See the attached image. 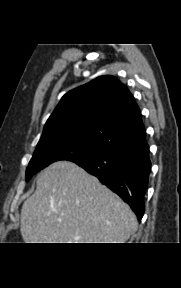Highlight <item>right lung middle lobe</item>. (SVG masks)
I'll use <instances>...</instances> for the list:
<instances>
[{
    "mask_svg": "<svg viewBox=\"0 0 181 288\" xmlns=\"http://www.w3.org/2000/svg\"><path fill=\"white\" fill-rule=\"evenodd\" d=\"M106 150L104 146L83 137L40 140L26 169V181L53 162L71 161L76 158L97 155Z\"/></svg>",
    "mask_w": 181,
    "mask_h": 288,
    "instance_id": "dd1d6c3e",
    "label": "right lung middle lobe"
}]
</instances>
